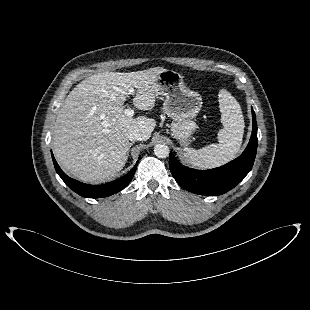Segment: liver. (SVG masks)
<instances>
[{"instance_id": "6515ba94", "label": "liver", "mask_w": 310, "mask_h": 310, "mask_svg": "<svg viewBox=\"0 0 310 310\" xmlns=\"http://www.w3.org/2000/svg\"><path fill=\"white\" fill-rule=\"evenodd\" d=\"M165 70L97 73L81 81L59 109L53 130V152L62 168L91 183L108 181L123 169L129 132L139 131L146 141L156 126L154 119L126 116V96L134 87V106L153 109L158 75Z\"/></svg>"}]
</instances>
